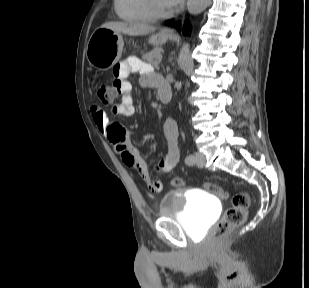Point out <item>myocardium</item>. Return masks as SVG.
<instances>
[{
	"mask_svg": "<svg viewBox=\"0 0 309 288\" xmlns=\"http://www.w3.org/2000/svg\"><path fill=\"white\" fill-rule=\"evenodd\" d=\"M147 1L152 14L156 18L166 17L171 14V11L169 9H166L161 5L160 0H147Z\"/></svg>",
	"mask_w": 309,
	"mask_h": 288,
	"instance_id": "1",
	"label": "myocardium"
}]
</instances>
